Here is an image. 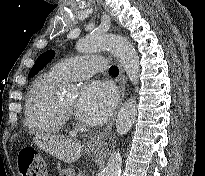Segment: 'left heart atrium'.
Wrapping results in <instances>:
<instances>
[{"instance_id": "left-heart-atrium-1", "label": "left heart atrium", "mask_w": 205, "mask_h": 176, "mask_svg": "<svg viewBox=\"0 0 205 176\" xmlns=\"http://www.w3.org/2000/svg\"><path fill=\"white\" fill-rule=\"evenodd\" d=\"M115 103L112 86L98 80L88 81L80 90L76 113L88 123L101 124L109 118Z\"/></svg>"}]
</instances>
